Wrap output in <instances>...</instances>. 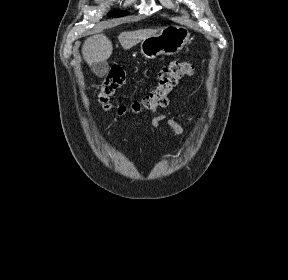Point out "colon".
<instances>
[{
	"label": "colon",
	"instance_id": "5ec220e1",
	"mask_svg": "<svg viewBox=\"0 0 288 280\" xmlns=\"http://www.w3.org/2000/svg\"><path fill=\"white\" fill-rule=\"evenodd\" d=\"M194 73L192 64L188 61H174L158 74V84L147 95L134 102L131 106L133 112L140 113L143 111L153 112L159 107H164L168 102V94L184 76H191ZM125 81L123 69L114 65L104 79L100 92L98 94L99 103L105 110L111 109L110 99L115 91L120 88ZM126 111L124 106L118 108L119 114Z\"/></svg>",
	"mask_w": 288,
	"mask_h": 280
}]
</instances>
